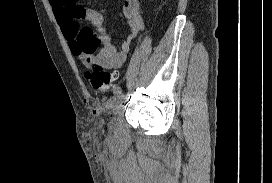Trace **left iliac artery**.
Wrapping results in <instances>:
<instances>
[{
  "mask_svg": "<svg viewBox=\"0 0 272 183\" xmlns=\"http://www.w3.org/2000/svg\"><path fill=\"white\" fill-rule=\"evenodd\" d=\"M114 94H115V96L121 95V94H122V89H121V88L115 89V90H114Z\"/></svg>",
  "mask_w": 272,
  "mask_h": 183,
  "instance_id": "1",
  "label": "left iliac artery"
}]
</instances>
